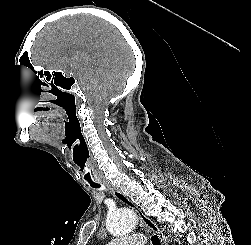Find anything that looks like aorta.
I'll return each mask as SVG.
<instances>
[{"label":"aorta","instance_id":"obj_1","mask_svg":"<svg viewBox=\"0 0 251 245\" xmlns=\"http://www.w3.org/2000/svg\"><path fill=\"white\" fill-rule=\"evenodd\" d=\"M106 226L113 236H124L135 229L136 215L133 210L128 208L117 209L108 214Z\"/></svg>","mask_w":251,"mask_h":245}]
</instances>
